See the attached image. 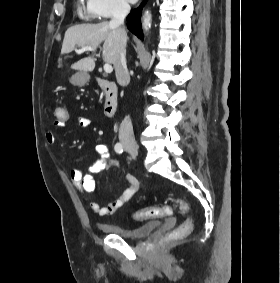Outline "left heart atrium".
Returning <instances> with one entry per match:
<instances>
[{
  "instance_id": "1",
  "label": "left heart atrium",
  "mask_w": 280,
  "mask_h": 283,
  "mask_svg": "<svg viewBox=\"0 0 280 283\" xmlns=\"http://www.w3.org/2000/svg\"><path fill=\"white\" fill-rule=\"evenodd\" d=\"M131 3H135L137 0H129Z\"/></svg>"
}]
</instances>
